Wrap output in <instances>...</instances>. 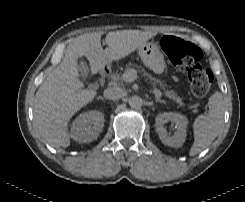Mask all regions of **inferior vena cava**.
<instances>
[{
  "mask_svg": "<svg viewBox=\"0 0 245 202\" xmlns=\"http://www.w3.org/2000/svg\"><path fill=\"white\" fill-rule=\"evenodd\" d=\"M125 96V91L120 87L108 88L104 91V97L110 100H117Z\"/></svg>",
  "mask_w": 245,
  "mask_h": 202,
  "instance_id": "602c4592",
  "label": "inferior vena cava"
}]
</instances>
